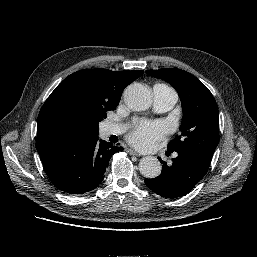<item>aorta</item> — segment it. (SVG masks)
Here are the masks:
<instances>
[{"mask_svg": "<svg viewBox=\"0 0 257 257\" xmlns=\"http://www.w3.org/2000/svg\"><path fill=\"white\" fill-rule=\"evenodd\" d=\"M123 97L126 105L134 111L146 110L152 102L150 89L139 83L129 85L124 90ZM161 169L159 160L153 156L144 157L139 162V171L146 178L159 176Z\"/></svg>", "mask_w": 257, "mask_h": 257, "instance_id": "obj_1", "label": "aorta"}]
</instances>
